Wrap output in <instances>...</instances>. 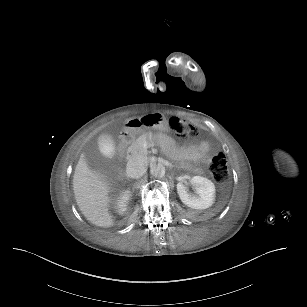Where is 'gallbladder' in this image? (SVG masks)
I'll return each mask as SVG.
<instances>
[{
    "instance_id": "bac80fb5",
    "label": "gallbladder",
    "mask_w": 307,
    "mask_h": 307,
    "mask_svg": "<svg viewBox=\"0 0 307 307\" xmlns=\"http://www.w3.org/2000/svg\"><path fill=\"white\" fill-rule=\"evenodd\" d=\"M98 148L104 156H113L116 153V146L109 136H101L98 139Z\"/></svg>"
}]
</instances>
